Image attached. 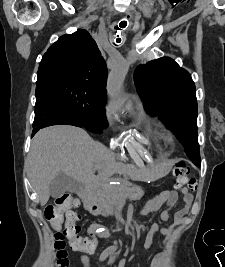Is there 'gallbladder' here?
Segmentation results:
<instances>
[{
  "instance_id": "bac80fb5",
  "label": "gallbladder",
  "mask_w": 225,
  "mask_h": 267,
  "mask_svg": "<svg viewBox=\"0 0 225 267\" xmlns=\"http://www.w3.org/2000/svg\"><path fill=\"white\" fill-rule=\"evenodd\" d=\"M81 185L66 174L57 175L50 183V195L54 198L62 196L66 192H76Z\"/></svg>"
}]
</instances>
